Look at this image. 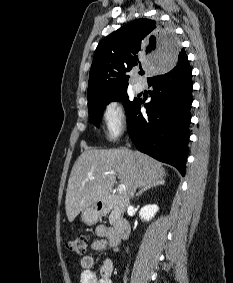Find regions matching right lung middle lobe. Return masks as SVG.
<instances>
[{
  "label": "right lung middle lobe",
  "mask_w": 233,
  "mask_h": 283,
  "mask_svg": "<svg viewBox=\"0 0 233 283\" xmlns=\"http://www.w3.org/2000/svg\"><path fill=\"white\" fill-rule=\"evenodd\" d=\"M111 101H123L127 115L130 113L131 109L137 102L136 99L134 101L128 100L127 90L116 93L98 104L88 106L89 118L91 123L99 127L102 112L105 109L106 104H109Z\"/></svg>",
  "instance_id": "dd1d6c3e"
}]
</instances>
